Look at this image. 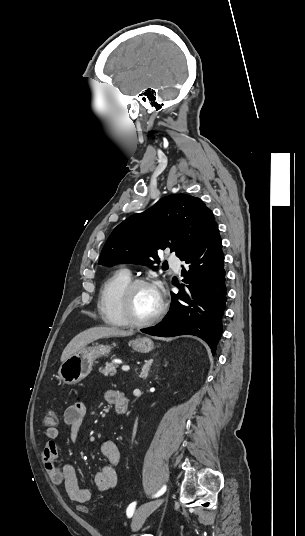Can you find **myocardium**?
<instances>
[{
  "mask_svg": "<svg viewBox=\"0 0 305 536\" xmlns=\"http://www.w3.org/2000/svg\"><path fill=\"white\" fill-rule=\"evenodd\" d=\"M140 285H150V286L155 287L158 290L159 296H160V305H159L158 310L152 315L144 317V318L136 317L133 314L132 308H131L132 292L134 291V289H136ZM120 310L127 325L133 326V327H140V326L151 324L157 321L158 319H160L165 313L166 302L163 299L162 294L157 284L154 281L146 277H140V278L131 279L129 283L126 284L125 287L123 288L121 295H120Z\"/></svg>",
  "mask_w": 305,
  "mask_h": 536,
  "instance_id": "f54148a6",
  "label": "myocardium"
}]
</instances>
